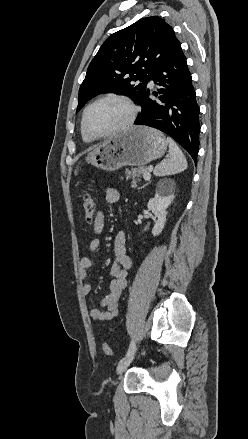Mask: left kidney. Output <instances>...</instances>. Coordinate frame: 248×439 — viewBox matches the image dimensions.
Wrapping results in <instances>:
<instances>
[{
	"instance_id": "5707ae66",
	"label": "left kidney",
	"mask_w": 248,
	"mask_h": 439,
	"mask_svg": "<svg viewBox=\"0 0 248 439\" xmlns=\"http://www.w3.org/2000/svg\"><path fill=\"white\" fill-rule=\"evenodd\" d=\"M174 197L173 186L164 187L163 181L157 184L156 193L147 204L148 210L157 217L152 229L153 236H157L162 232L166 223L167 208L171 205Z\"/></svg>"
}]
</instances>
